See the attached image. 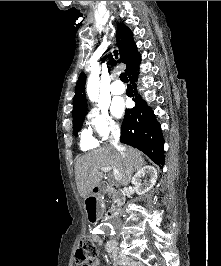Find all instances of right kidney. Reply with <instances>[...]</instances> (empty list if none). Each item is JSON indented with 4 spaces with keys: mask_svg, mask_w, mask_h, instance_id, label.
I'll use <instances>...</instances> for the list:
<instances>
[{
    "mask_svg": "<svg viewBox=\"0 0 221 266\" xmlns=\"http://www.w3.org/2000/svg\"><path fill=\"white\" fill-rule=\"evenodd\" d=\"M157 180V170L155 167L146 165L139 169L132 178L135 190L139 194L148 192L155 185Z\"/></svg>",
    "mask_w": 221,
    "mask_h": 266,
    "instance_id": "ca27d5eb",
    "label": "right kidney"
}]
</instances>
